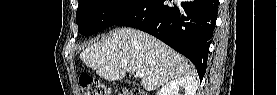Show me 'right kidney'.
Listing matches in <instances>:
<instances>
[{
    "label": "right kidney",
    "mask_w": 277,
    "mask_h": 95,
    "mask_svg": "<svg viewBox=\"0 0 277 95\" xmlns=\"http://www.w3.org/2000/svg\"><path fill=\"white\" fill-rule=\"evenodd\" d=\"M182 87L185 89V95H196L198 84L192 77L176 78L164 85L156 95H178Z\"/></svg>",
    "instance_id": "ca27d5eb"
}]
</instances>
